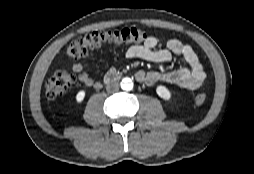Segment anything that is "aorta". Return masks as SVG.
I'll return each mask as SVG.
<instances>
[{
    "label": "aorta",
    "instance_id": "762f6f07",
    "mask_svg": "<svg viewBox=\"0 0 254 174\" xmlns=\"http://www.w3.org/2000/svg\"><path fill=\"white\" fill-rule=\"evenodd\" d=\"M121 88L125 91H130L133 88V82L130 78H124L121 81Z\"/></svg>",
    "mask_w": 254,
    "mask_h": 174
}]
</instances>
